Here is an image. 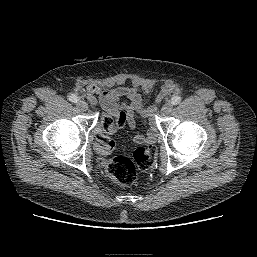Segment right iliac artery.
Masks as SVG:
<instances>
[{
	"instance_id": "1",
	"label": "right iliac artery",
	"mask_w": 257,
	"mask_h": 257,
	"mask_svg": "<svg viewBox=\"0 0 257 257\" xmlns=\"http://www.w3.org/2000/svg\"><path fill=\"white\" fill-rule=\"evenodd\" d=\"M78 97H77V95H75V94H71L70 96H69V101H71L72 103H77L78 102Z\"/></svg>"
}]
</instances>
